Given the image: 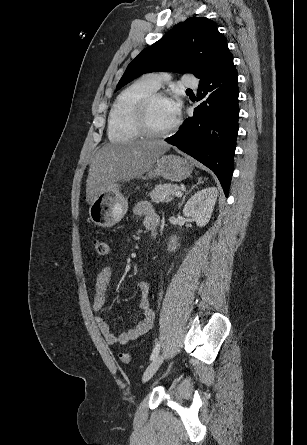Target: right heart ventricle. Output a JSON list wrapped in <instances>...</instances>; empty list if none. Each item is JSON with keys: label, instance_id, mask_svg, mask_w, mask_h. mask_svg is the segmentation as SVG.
I'll use <instances>...</instances> for the list:
<instances>
[{"label": "right heart ventricle", "instance_id": "right-heart-ventricle-1", "mask_svg": "<svg viewBox=\"0 0 307 445\" xmlns=\"http://www.w3.org/2000/svg\"><path fill=\"white\" fill-rule=\"evenodd\" d=\"M155 89L147 81H139L123 91L112 105L108 136L110 140H143L137 116L139 103Z\"/></svg>", "mask_w": 307, "mask_h": 445}]
</instances>
